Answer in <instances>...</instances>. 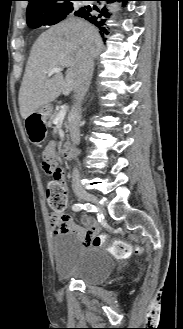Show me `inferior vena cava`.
<instances>
[{
	"label": "inferior vena cava",
	"instance_id": "obj_1",
	"mask_svg": "<svg viewBox=\"0 0 183 329\" xmlns=\"http://www.w3.org/2000/svg\"><path fill=\"white\" fill-rule=\"evenodd\" d=\"M94 70L93 59L89 55H84L81 60V74L79 85L76 88V103L71 113V121L69 124L70 137L73 145L80 143V118H81V102L88 91L91 83L92 75ZM73 185L79 184V171L77 168L73 169L72 173Z\"/></svg>",
	"mask_w": 183,
	"mask_h": 329
}]
</instances>
